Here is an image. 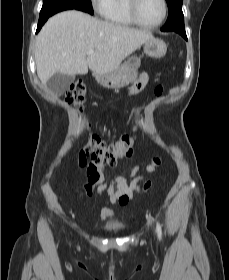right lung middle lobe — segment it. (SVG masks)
<instances>
[{
	"instance_id": "right-lung-middle-lobe-1",
	"label": "right lung middle lobe",
	"mask_w": 229,
	"mask_h": 280,
	"mask_svg": "<svg viewBox=\"0 0 229 280\" xmlns=\"http://www.w3.org/2000/svg\"><path fill=\"white\" fill-rule=\"evenodd\" d=\"M63 6H68L93 14V8L90 0H43V6L40 13L50 12Z\"/></svg>"
}]
</instances>
